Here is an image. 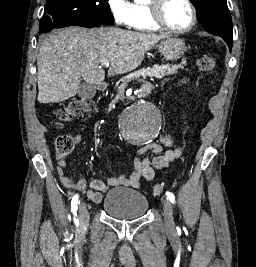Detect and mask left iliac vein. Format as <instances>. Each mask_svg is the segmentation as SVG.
Segmentation results:
<instances>
[{
  "instance_id": "1",
  "label": "left iliac vein",
  "mask_w": 256,
  "mask_h": 267,
  "mask_svg": "<svg viewBox=\"0 0 256 267\" xmlns=\"http://www.w3.org/2000/svg\"><path fill=\"white\" fill-rule=\"evenodd\" d=\"M162 205L164 209V221L166 224L167 229H173L174 228V221H173V206L171 202L166 199L162 198Z\"/></svg>"
}]
</instances>
